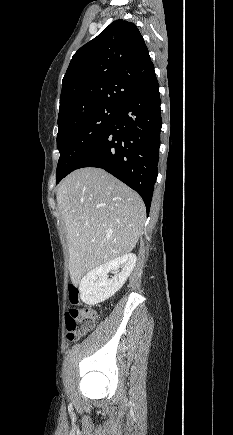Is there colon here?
<instances>
[{"label": "colon", "instance_id": "5ec220e1", "mask_svg": "<svg viewBox=\"0 0 233 435\" xmlns=\"http://www.w3.org/2000/svg\"><path fill=\"white\" fill-rule=\"evenodd\" d=\"M80 284L72 282L68 286V297L72 304H78L80 300ZM98 313L95 309L71 308L67 312V339L70 342L77 341L88 333L95 325Z\"/></svg>", "mask_w": 233, "mask_h": 435}]
</instances>
